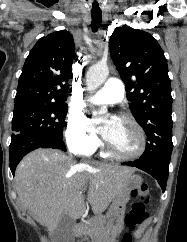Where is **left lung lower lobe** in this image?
Returning a JSON list of instances; mask_svg holds the SVG:
<instances>
[{"mask_svg":"<svg viewBox=\"0 0 187 242\" xmlns=\"http://www.w3.org/2000/svg\"><path fill=\"white\" fill-rule=\"evenodd\" d=\"M171 156H161L154 158H140L133 162H126L123 165L137 167L152 175L159 183L164 192L169 174V163Z\"/></svg>","mask_w":187,"mask_h":242,"instance_id":"left-lung-lower-lobe-1","label":"left lung lower lobe"}]
</instances>
